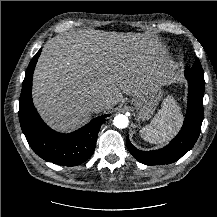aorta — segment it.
Masks as SVG:
<instances>
[{
  "instance_id": "obj_1",
  "label": "aorta",
  "mask_w": 217,
  "mask_h": 217,
  "mask_svg": "<svg viewBox=\"0 0 217 217\" xmlns=\"http://www.w3.org/2000/svg\"><path fill=\"white\" fill-rule=\"evenodd\" d=\"M129 120L126 115L118 114L114 117L113 124L119 129H124L128 126Z\"/></svg>"
}]
</instances>
